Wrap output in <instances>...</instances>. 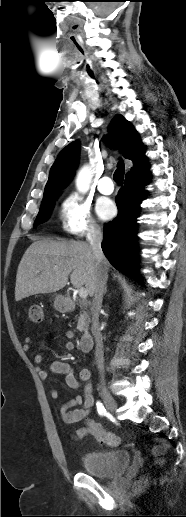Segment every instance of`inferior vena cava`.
<instances>
[{"label":"inferior vena cava","mask_w":186,"mask_h":517,"mask_svg":"<svg viewBox=\"0 0 186 517\" xmlns=\"http://www.w3.org/2000/svg\"><path fill=\"white\" fill-rule=\"evenodd\" d=\"M93 255L96 261L94 277V298L92 302V327L91 332L95 338V360L101 377H104V352L103 338L100 331L99 311L101 308L103 293L107 282L108 274L105 268V256L101 248L102 232L99 226L92 228L88 237Z\"/></svg>","instance_id":"inferior-vena-cava-1"}]
</instances>
